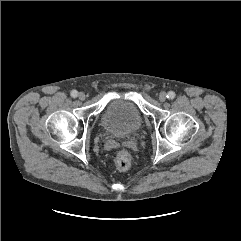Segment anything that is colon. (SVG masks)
<instances>
[{
	"label": "colon",
	"mask_w": 241,
	"mask_h": 241,
	"mask_svg": "<svg viewBox=\"0 0 241 241\" xmlns=\"http://www.w3.org/2000/svg\"><path fill=\"white\" fill-rule=\"evenodd\" d=\"M130 155L124 150H120L115 154L114 157V166L119 171H124L130 166Z\"/></svg>",
	"instance_id": "colon-1"
}]
</instances>
